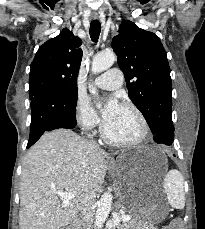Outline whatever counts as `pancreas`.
I'll use <instances>...</instances> for the list:
<instances>
[{
  "label": "pancreas",
  "instance_id": "cf45deb5",
  "mask_svg": "<svg viewBox=\"0 0 205 229\" xmlns=\"http://www.w3.org/2000/svg\"><path fill=\"white\" fill-rule=\"evenodd\" d=\"M141 224L137 223L136 221H129V222H124L121 226L120 229H135V228H140Z\"/></svg>",
  "mask_w": 205,
  "mask_h": 229
}]
</instances>
